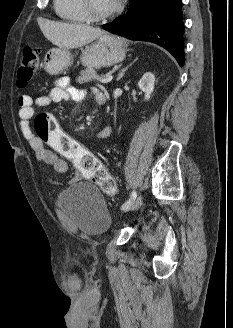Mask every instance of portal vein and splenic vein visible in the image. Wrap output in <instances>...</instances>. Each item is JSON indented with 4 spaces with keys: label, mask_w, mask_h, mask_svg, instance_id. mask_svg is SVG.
Here are the masks:
<instances>
[{
    "label": "portal vein and splenic vein",
    "mask_w": 233,
    "mask_h": 328,
    "mask_svg": "<svg viewBox=\"0 0 233 328\" xmlns=\"http://www.w3.org/2000/svg\"><path fill=\"white\" fill-rule=\"evenodd\" d=\"M112 79H113V76L112 75H109V76H106L104 78H100L99 81L101 83H109Z\"/></svg>",
    "instance_id": "portal-vein-and-splenic-vein-1"
}]
</instances>
